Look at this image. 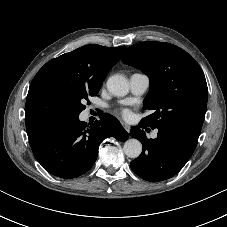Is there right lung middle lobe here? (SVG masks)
Here are the masks:
<instances>
[{
    "instance_id": "obj_1",
    "label": "right lung middle lobe",
    "mask_w": 227,
    "mask_h": 227,
    "mask_svg": "<svg viewBox=\"0 0 227 227\" xmlns=\"http://www.w3.org/2000/svg\"><path fill=\"white\" fill-rule=\"evenodd\" d=\"M99 90L94 91H88L85 89L77 90L71 100L70 104V117L71 120L79 117L80 112L85 108V105H83V102L85 100L88 101L89 96H95L98 93Z\"/></svg>"
}]
</instances>
